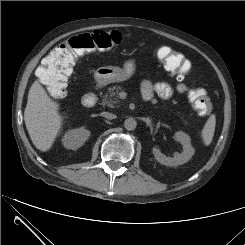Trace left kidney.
<instances>
[{
    "mask_svg": "<svg viewBox=\"0 0 245 245\" xmlns=\"http://www.w3.org/2000/svg\"><path fill=\"white\" fill-rule=\"evenodd\" d=\"M175 139L182 144L183 151L180 154H176L173 158L167 157L159 149L153 147L152 153L159 163L166 166H177L188 162L192 158L195 150L191 145L190 137L186 133L178 131L175 133Z\"/></svg>",
    "mask_w": 245,
    "mask_h": 245,
    "instance_id": "left-kidney-1",
    "label": "left kidney"
}]
</instances>
